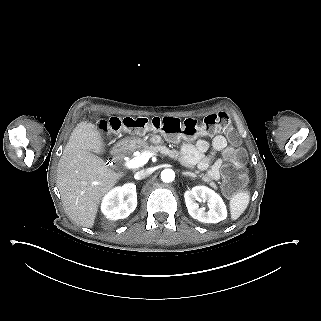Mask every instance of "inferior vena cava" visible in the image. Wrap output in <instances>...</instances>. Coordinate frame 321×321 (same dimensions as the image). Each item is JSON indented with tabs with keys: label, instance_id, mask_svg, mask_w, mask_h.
<instances>
[{
	"label": "inferior vena cava",
	"instance_id": "inferior-vena-cava-1",
	"mask_svg": "<svg viewBox=\"0 0 321 321\" xmlns=\"http://www.w3.org/2000/svg\"><path fill=\"white\" fill-rule=\"evenodd\" d=\"M151 171L149 169H143L135 173V178L138 180H142L148 176H150Z\"/></svg>",
	"mask_w": 321,
	"mask_h": 321
}]
</instances>
